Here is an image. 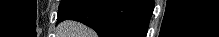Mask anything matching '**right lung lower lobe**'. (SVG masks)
Returning <instances> with one entry per match:
<instances>
[{
    "instance_id": "obj_1",
    "label": "right lung lower lobe",
    "mask_w": 219,
    "mask_h": 37,
    "mask_svg": "<svg viewBox=\"0 0 219 37\" xmlns=\"http://www.w3.org/2000/svg\"><path fill=\"white\" fill-rule=\"evenodd\" d=\"M153 8V0H74L57 22H82L99 37H145Z\"/></svg>"
}]
</instances>
